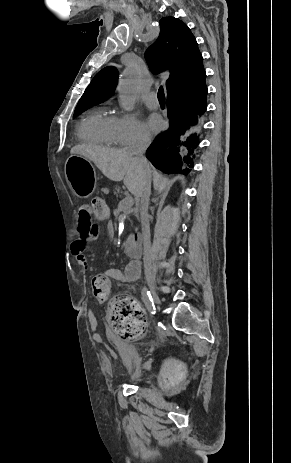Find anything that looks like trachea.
I'll return each instance as SVG.
<instances>
[{"label":"trachea","mask_w":291,"mask_h":463,"mask_svg":"<svg viewBox=\"0 0 291 463\" xmlns=\"http://www.w3.org/2000/svg\"><path fill=\"white\" fill-rule=\"evenodd\" d=\"M157 96H158L159 102H163V103L165 102V95H164V90L162 87L159 88Z\"/></svg>","instance_id":"obj_1"}]
</instances>
